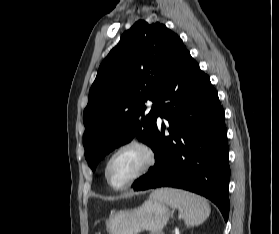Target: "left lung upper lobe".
<instances>
[{
  "label": "left lung upper lobe",
  "instance_id": "1",
  "mask_svg": "<svg viewBox=\"0 0 279 234\" xmlns=\"http://www.w3.org/2000/svg\"><path fill=\"white\" fill-rule=\"evenodd\" d=\"M183 47L165 25L139 20L104 59L83 114L85 158L93 171L134 137L154 148L159 93ZM147 101L153 102L150 112Z\"/></svg>",
  "mask_w": 279,
  "mask_h": 234
}]
</instances>
